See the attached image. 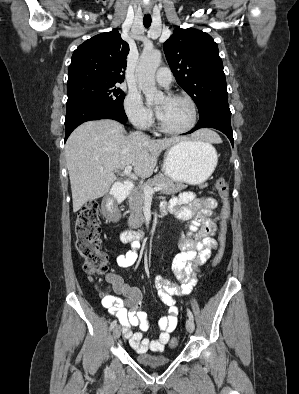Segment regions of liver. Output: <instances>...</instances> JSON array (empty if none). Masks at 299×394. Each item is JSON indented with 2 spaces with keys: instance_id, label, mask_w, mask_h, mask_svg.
<instances>
[{
  "instance_id": "1",
  "label": "liver",
  "mask_w": 299,
  "mask_h": 394,
  "mask_svg": "<svg viewBox=\"0 0 299 394\" xmlns=\"http://www.w3.org/2000/svg\"><path fill=\"white\" fill-rule=\"evenodd\" d=\"M193 138L221 141L208 129L197 131ZM183 140L180 137L155 140L138 132L126 135L123 125L111 119L83 123L72 132L65 145L73 211L104 196L116 180V169L131 165L139 177H150L160 153Z\"/></svg>"
}]
</instances>
